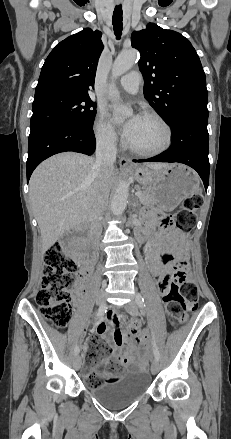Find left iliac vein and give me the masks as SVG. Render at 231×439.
<instances>
[{
  "label": "left iliac vein",
  "instance_id": "4c4485c4",
  "mask_svg": "<svg viewBox=\"0 0 231 439\" xmlns=\"http://www.w3.org/2000/svg\"><path fill=\"white\" fill-rule=\"evenodd\" d=\"M137 305L138 304H137L136 300H132L128 304L125 305V309L131 315L137 316L139 314V310H138V306ZM159 370H160L159 360L155 359L152 362V365H151V372H152L153 375H155V374H157L159 372Z\"/></svg>",
  "mask_w": 231,
  "mask_h": 439
}]
</instances>
